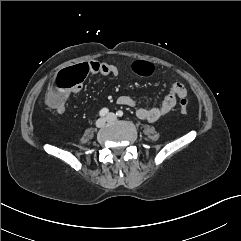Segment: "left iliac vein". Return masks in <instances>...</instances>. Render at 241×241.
Here are the masks:
<instances>
[{"label": "left iliac vein", "mask_w": 241, "mask_h": 241, "mask_svg": "<svg viewBox=\"0 0 241 241\" xmlns=\"http://www.w3.org/2000/svg\"><path fill=\"white\" fill-rule=\"evenodd\" d=\"M108 122L115 121L117 119L116 115L114 113H109L106 117Z\"/></svg>", "instance_id": "obj_1"}]
</instances>
